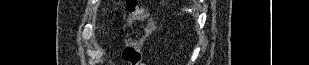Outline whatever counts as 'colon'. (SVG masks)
<instances>
[{
	"label": "colon",
	"mask_w": 309,
	"mask_h": 65,
	"mask_svg": "<svg viewBox=\"0 0 309 65\" xmlns=\"http://www.w3.org/2000/svg\"><path fill=\"white\" fill-rule=\"evenodd\" d=\"M123 20L126 24H132L141 20L148 22L143 35L130 41L123 50V61L125 65H140L142 61V48L148 38L153 34L155 23L149 17L146 7L136 0H129L127 2L123 13Z\"/></svg>",
	"instance_id": "5ec220e1"
}]
</instances>
